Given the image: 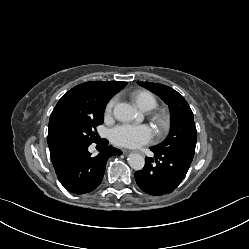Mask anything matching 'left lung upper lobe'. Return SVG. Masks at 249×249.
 I'll use <instances>...</instances> for the list:
<instances>
[{
  "mask_svg": "<svg viewBox=\"0 0 249 249\" xmlns=\"http://www.w3.org/2000/svg\"><path fill=\"white\" fill-rule=\"evenodd\" d=\"M150 90L169 105L172 124L169 136L157 146L160 151L180 152L194 156L197 141V131L193 112L186 100L174 89L157 83L137 82Z\"/></svg>",
  "mask_w": 249,
  "mask_h": 249,
  "instance_id": "left-lung-upper-lobe-1",
  "label": "left lung upper lobe"
}]
</instances>
